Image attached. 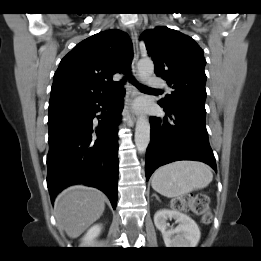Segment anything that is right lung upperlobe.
<instances>
[{
	"instance_id": "obj_1",
	"label": "right lung upper lobe",
	"mask_w": 261,
	"mask_h": 261,
	"mask_svg": "<svg viewBox=\"0 0 261 261\" xmlns=\"http://www.w3.org/2000/svg\"><path fill=\"white\" fill-rule=\"evenodd\" d=\"M132 60V42L120 30L97 33L78 43L55 72L49 105L80 102L113 93L119 83L115 73H126Z\"/></svg>"
}]
</instances>
